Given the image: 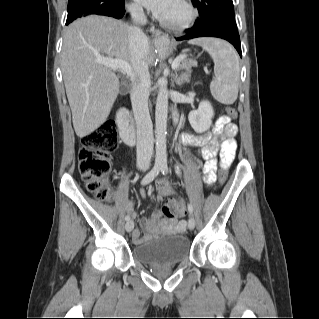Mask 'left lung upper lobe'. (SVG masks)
<instances>
[{
	"label": "left lung upper lobe",
	"mask_w": 319,
	"mask_h": 319,
	"mask_svg": "<svg viewBox=\"0 0 319 319\" xmlns=\"http://www.w3.org/2000/svg\"><path fill=\"white\" fill-rule=\"evenodd\" d=\"M198 8L200 18L194 26L210 23H221L237 27L234 18V6L232 0H191Z\"/></svg>",
	"instance_id": "1"
}]
</instances>
